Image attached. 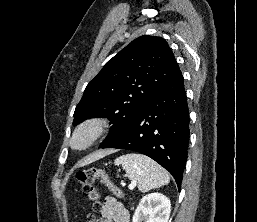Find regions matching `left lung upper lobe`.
Here are the masks:
<instances>
[{"mask_svg": "<svg viewBox=\"0 0 257 222\" xmlns=\"http://www.w3.org/2000/svg\"><path fill=\"white\" fill-rule=\"evenodd\" d=\"M178 70L174 54L163 38L138 37L88 83L76 106L73 125L88 118H109L113 125L100 145L103 147L136 118Z\"/></svg>", "mask_w": 257, "mask_h": 222, "instance_id": "left-lung-upper-lobe-1", "label": "left lung upper lobe"}]
</instances>
